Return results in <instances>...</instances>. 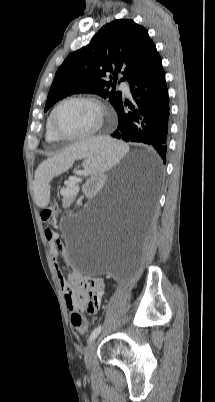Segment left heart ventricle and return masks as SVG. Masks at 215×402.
I'll list each match as a JSON object with an SVG mask.
<instances>
[{
    "label": "left heart ventricle",
    "instance_id": "left-heart-ventricle-1",
    "mask_svg": "<svg viewBox=\"0 0 215 402\" xmlns=\"http://www.w3.org/2000/svg\"><path fill=\"white\" fill-rule=\"evenodd\" d=\"M99 111L89 102L70 101L62 105L55 116V124L66 135H80L92 130L98 123Z\"/></svg>",
    "mask_w": 215,
    "mask_h": 402
}]
</instances>
